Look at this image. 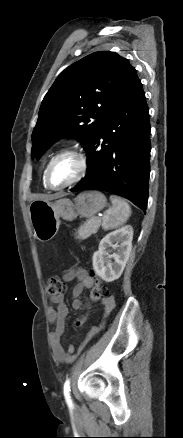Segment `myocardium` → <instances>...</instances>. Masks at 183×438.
<instances>
[{"mask_svg":"<svg viewBox=\"0 0 183 438\" xmlns=\"http://www.w3.org/2000/svg\"><path fill=\"white\" fill-rule=\"evenodd\" d=\"M68 156L75 157L77 159L78 165H79L78 173L68 183L60 185V186H53L49 181V175H50L51 168L54 165V163L57 162L59 159L64 158V157H68ZM88 169H89L88 158L83 152H81L79 150H74V149L65 150V151H62V152L58 153L57 155H55L48 162L46 169H45V173H44V183L47 186V188H49L51 190H61V189L67 188V187L72 186V185L78 183L79 181H81L86 176Z\"/></svg>","mask_w":183,"mask_h":438,"instance_id":"f54148a6","label":"myocardium"}]
</instances>
